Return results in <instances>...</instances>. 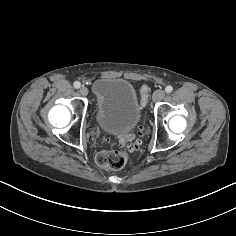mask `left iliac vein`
<instances>
[{
	"label": "left iliac vein",
	"mask_w": 236,
	"mask_h": 236,
	"mask_svg": "<svg viewBox=\"0 0 236 236\" xmlns=\"http://www.w3.org/2000/svg\"><path fill=\"white\" fill-rule=\"evenodd\" d=\"M164 97H165V92L161 89H158L153 93V101L154 102L161 101L164 99Z\"/></svg>",
	"instance_id": "4c4485c4"
}]
</instances>
